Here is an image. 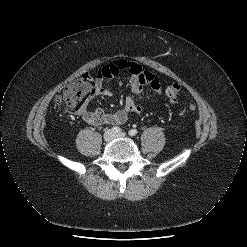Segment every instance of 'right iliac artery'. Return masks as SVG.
Wrapping results in <instances>:
<instances>
[{
  "mask_svg": "<svg viewBox=\"0 0 247 247\" xmlns=\"http://www.w3.org/2000/svg\"><path fill=\"white\" fill-rule=\"evenodd\" d=\"M111 130H112L114 133H117V134H119V133L121 132V129H120L119 127H116V126L112 127Z\"/></svg>",
  "mask_w": 247,
  "mask_h": 247,
  "instance_id": "obj_1",
  "label": "right iliac artery"
}]
</instances>
